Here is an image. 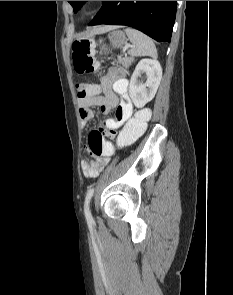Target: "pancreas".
Here are the masks:
<instances>
[{"instance_id": "pancreas-1", "label": "pancreas", "mask_w": 233, "mask_h": 295, "mask_svg": "<svg viewBox=\"0 0 233 295\" xmlns=\"http://www.w3.org/2000/svg\"><path fill=\"white\" fill-rule=\"evenodd\" d=\"M133 57H126V58H123L122 60H120V63L122 64V66L127 69L131 63L133 62Z\"/></svg>"}]
</instances>
